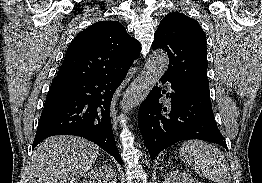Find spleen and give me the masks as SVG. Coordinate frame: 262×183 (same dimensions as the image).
Masks as SVG:
<instances>
[{
	"instance_id": "spleen-1",
	"label": "spleen",
	"mask_w": 262,
	"mask_h": 183,
	"mask_svg": "<svg viewBox=\"0 0 262 183\" xmlns=\"http://www.w3.org/2000/svg\"><path fill=\"white\" fill-rule=\"evenodd\" d=\"M181 160L199 175L215 183H230L229 165L222 152L214 145L200 140H189L179 148Z\"/></svg>"
}]
</instances>
